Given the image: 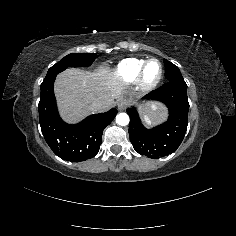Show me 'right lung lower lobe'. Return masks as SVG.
Instances as JSON below:
<instances>
[{
  "label": "right lung lower lobe",
  "instance_id": "1",
  "mask_svg": "<svg viewBox=\"0 0 236 236\" xmlns=\"http://www.w3.org/2000/svg\"><path fill=\"white\" fill-rule=\"evenodd\" d=\"M57 74H47L41 84L38 105L41 131L57 156L71 162L85 161L98 153L103 130L113 121L117 109L91 115L75 125L65 123L58 114L53 92Z\"/></svg>",
  "mask_w": 236,
  "mask_h": 236
}]
</instances>
